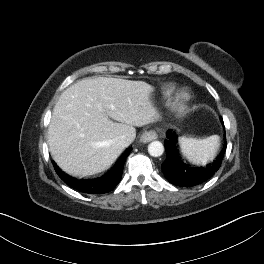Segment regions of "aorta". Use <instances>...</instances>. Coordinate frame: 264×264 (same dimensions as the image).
Instances as JSON below:
<instances>
[{"instance_id":"aorta-1","label":"aorta","mask_w":264,"mask_h":264,"mask_svg":"<svg viewBox=\"0 0 264 264\" xmlns=\"http://www.w3.org/2000/svg\"><path fill=\"white\" fill-rule=\"evenodd\" d=\"M148 153L153 157H159L164 153V146L160 141H153L148 145Z\"/></svg>"}]
</instances>
